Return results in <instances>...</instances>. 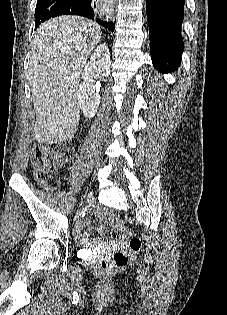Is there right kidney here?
<instances>
[{"label":"right kidney","instance_id":"right-kidney-1","mask_svg":"<svg viewBox=\"0 0 227 315\" xmlns=\"http://www.w3.org/2000/svg\"><path fill=\"white\" fill-rule=\"evenodd\" d=\"M110 52L105 44H100L96 47L90 57V61L84 67L82 73L83 82L78 89V103L86 118L95 116L100 104V95L95 93L93 77L95 74H100L103 77H108L110 74Z\"/></svg>","mask_w":227,"mask_h":315}]
</instances>
